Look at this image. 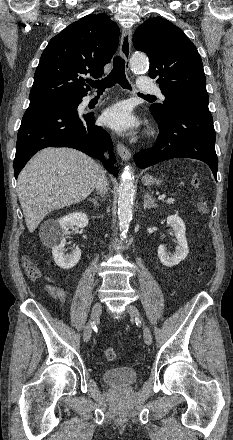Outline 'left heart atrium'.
Here are the masks:
<instances>
[{"instance_id": "left-heart-atrium-1", "label": "left heart atrium", "mask_w": 233, "mask_h": 440, "mask_svg": "<svg viewBox=\"0 0 233 440\" xmlns=\"http://www.w3.org/2000/svg\"><path fill=\"white\" fill-rule=\"evenodd\" d=\"M103 122L117 132H127L139 125V120L125 102L107 108L103 113Z\"/></svg>"}]
</instances>
